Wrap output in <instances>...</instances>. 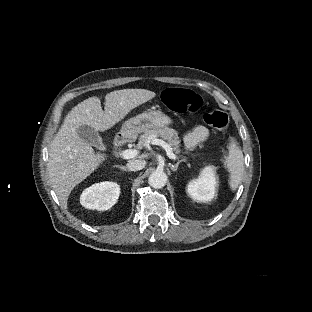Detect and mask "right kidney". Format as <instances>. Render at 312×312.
<instances>
[{
    "label": "right kidney",
    "mask_w": 312,
    "mask_h": 312,
    "mask_svg": "<svg viewBox=\"0 0 312 312\" xmlns=\"http://www.w3.org/2000/svg\"><path fill=\"white\" fill-rule=\"evenodd\" d=\"M120 187L113 182L94 184L84 190L81 195V205L88 209L108 210L118 200Z\"/></svg>",
    "instance_id": "right-kidney-1"
}]
</instances>
